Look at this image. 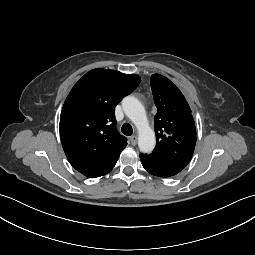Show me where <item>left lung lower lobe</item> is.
I'll list each match as a JSON object with an SVG mask.
<instances>
[{
	"label": "left lung lower lobe",
	"instance_id": "0a47b994",
	"mask_svg": "<svg viewBox=\"0 0 255 255\" xmlns=\"http://www.w3.org/2000/svg\"><path fill=\"white\" fill-rule=\"evenodd\" d=\"M192 155H174L168 158H154L140 154L144 169L158 177H172L182 171L190 162Z\"/></svg>",
	"mask_w": 255,
	"mask_h": 255
}]
</instances>
